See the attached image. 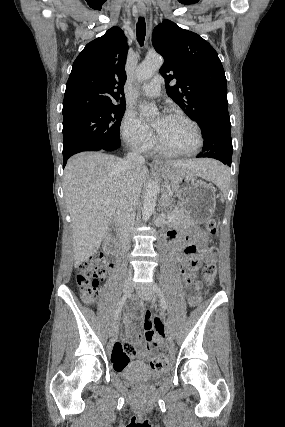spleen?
I'll return each mask as SVG.
<instances>
[{"mask_svg":"<svg viewBox=\"0 0 285 427\" xmlns=\"http://www.w3.org/2000/svg\"><path fill=\"white\" fill-rule=\"evenodd\" d=\"M218 163V162H217ZM225 195L229 188V173L225 166L218 163L213 169L212 176L209 178ZM224 201V198H221Z\"/></svg>","mask_w":285,"mask_h":427,"instance_id":"3e777b00","label":"spleen"}]
</instances>
